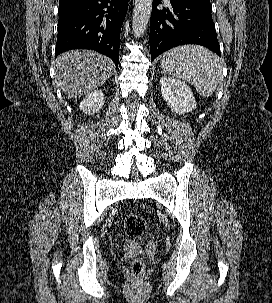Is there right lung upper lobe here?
<instances>
[{"mask_svg": "<svg viewBox=\"0 0 272 303\" xmlns=\"http://www.w3.org/2000/svg\"><path fill=\"white\" fill-rule=\"evenodd\" d=\"M87 0H59V10H65Z\"/></svg>", "mask_w": 272, "mask_h": 303, "instance_id": "obj_1", "label": "right lung upper lobe"}]
</instances>
